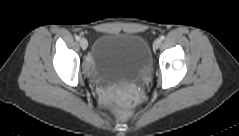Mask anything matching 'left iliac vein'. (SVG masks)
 <instances>
[{
  "label": "left iliac vein",
  "instance_id": "left-iliac-vein-1",
  "mask_svg": "<svg viewBox=\"0 0 239 136\" xmlns=\"http://www.w3.org/2000/svg\"><path fill=\"white\" fill-rule=\"evenodd\" d=\"M160 45H161V40L160 39H156L153 43V47L155 49H158L160 47Z\"/></svg>",
  "mask_w": 239,
  "mask_h": 136
}]
</instances>
